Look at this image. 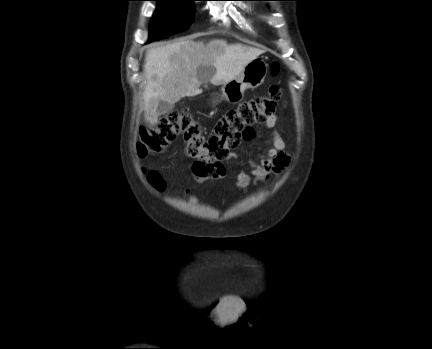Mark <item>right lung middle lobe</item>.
I'll return each mask as SVG.
<instances>
[{
  "instance_id": "1",
  "label": "right lung middle lobe",
  "mask_w": 432,
  "mask_h": 349,
  "mask_svg": "<svg viewBox=\"0 0 432 349\" xmlns=\"http://www.w3.org/2000/svg\"><path fill=\"white\" fill-rule=\"evenodd\" d=\"M157 10L153 15L148 43L185 31L192 23L194 0H154Z\"/></svg>"
}]
</instances>
